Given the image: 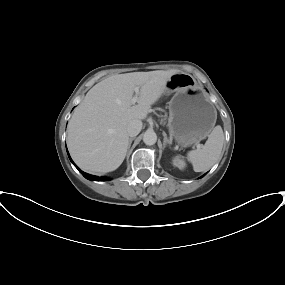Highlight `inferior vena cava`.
Here are the masks:
<instances>
[{"instance_id":"inferior-vena-cava-1","label":"inferior vena cava","mask_w":285,"mask_h":285,"mask_svg":"<svg viewBox=\"0 0 285 285\" xmlns=\"http://www.w3.org/2000/svg\"><path fill=\"white\" fill-rule=\"evenodd\" d=\"M142 129V122L141 120H132L128 125H127V133L130 137H135L137 136Z\"/></svg>"}]
</instances>
